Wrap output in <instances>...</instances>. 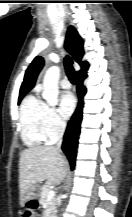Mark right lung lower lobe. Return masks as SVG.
<instances>
[{
	"mask_svg": "<svg viewBox=\"0 0 132 217\" xmlns=\"http://www.w3.org/2000/svg\"><path fill=\"white\" fill-rule=\"evenodd\" d=\"M84 79L85 78H79L77 81L79 104L77 110L75 111L74 115L72 116L71 120L68 123L64 135L63 145H62V149L66 154V156L68 157L72 169L74 168L75 165L76 148L78 143V136L80 133V123L82 120V107H83L82 97L86 93V88L82 85Z\"/></svg>",
	"mask_w": 132,
	"mask_h": 217,
	"instance_id": "obj_1",
	"label": "right lung lower lobe"
}]
</instances>
